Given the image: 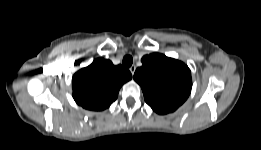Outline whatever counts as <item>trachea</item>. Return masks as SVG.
I'll return each mask as SVG.
<instances>
[{"label": "trachea", "instance_id": "obj_1", "mask_svg": "<svg viewBox=\"0 0 261 150\" xmlns=\"http://www.w3.org/2000/svg\"><path fill=\"white\" fill-rule=\"evenodd\" d=\"M123 65L125 66V67H130L131 65H132V63H133V58H132V56H130V55H126L124 58H123Z\"/></svg>", "mask_w": 261, "mask_h": 150}]
</instances>
